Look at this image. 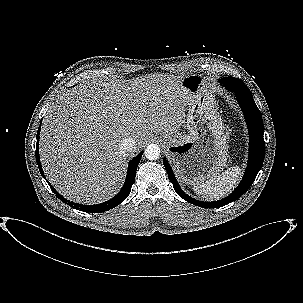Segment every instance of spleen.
I'll use <instances>...</instances> for the list:
<instances>
[{
	"mask_svg": "<svg viewBox=\"0 0 303 303\" xmlns=\"http://www.w3.org/2000/svg\"><path fill=\"white\" fill-rule=\"evenodd\" d=\"M240 167L233 166L228 168L222 174L214 176L209 180L194 186V192L205 200H219L227 195L234 185H236L240 176Z\"/></svg>",
	"mask_w": 303,
	"mask_h": 303,
	"instance_id": "spleen-1",
	"label": "spleen"
}]
</instances>
